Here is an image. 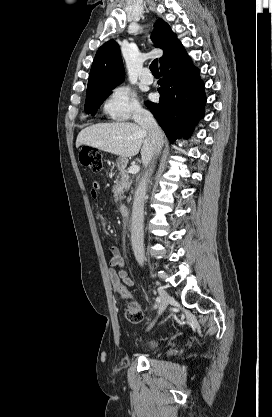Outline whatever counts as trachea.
I'll use <instances>...</instances> for the list:
<instances>
[{
    "mask_svg": "<svg viewBox=\"0 0 272 417\" xmlns=\"http://www.w3.org/2000/svg\"><path fill=\"white\" fill-rule=\"evenodd\" d=\"M150 71L152 72L153 75L159 74L158 59L153 60V62L150 65Z\"/></svg>",
    "mask_w": 272,
    "mask_h": 417,
    "instance_id": "1",
    "label": "trachea"
}]
</instances>
